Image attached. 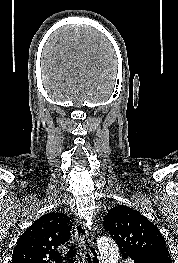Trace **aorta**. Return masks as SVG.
I'll return each mask as SVG.
<instances>
[{
	"mask_svg": "<svg viewBox=\"0 0 178 263\" xmlns=\"http://www.w3.org/2000/svg\"><path fill=\"white\" fill-rule=\"evenodd\" d=\"M100 252V263H118L119 249L117 245L108 237H101L97 240Z\"/></svg>",
	"mask_w": 178,
	"mask_h": 263,
	"instance_id": "aorta-1",
	"label": "aorta"
}]
</instances>
